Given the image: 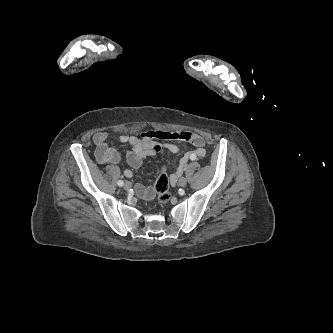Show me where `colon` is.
<instances>
[{
    "label": "colon",
    "mask_w": 333,
    "mask_h": 333,
    "mask_svg": "<svg viewBox=\"0 0 333 333\" xmlns=\"http://www.w3.org/2000/svg\"><path fill=\"white\" fill-rule=\"evenodd\" d=\"M168 165H164L154 182V190L157 194L159 203L168 204L172 198L169 192Z\"/></svg>",
    "instance_id": "5ec220e1"
}]
</instances>
